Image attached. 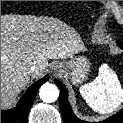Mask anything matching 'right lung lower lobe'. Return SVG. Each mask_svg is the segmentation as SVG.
Returning a JSON list of instances; mask_svg holds the SVG:
<instances>
[{
    "mask_svg": "<svg viewBox=\"0 0 123 123\" xmlns=\"http://www.w3.org/2000/svg\"><path fill=\"white\" fill-rule=\"evenodd\" d=\"M48 75L32 84L16 108L5 111L1 110V123H27L30 107L36 97L40 86L48 80Z\"/></svg>",
    "mask_w": 123,
    "mask_h": 123,
    "instance_id": "right-lung-lower-lobe-1",
    "label": "right lung lower lobe"
}]
</instances>
